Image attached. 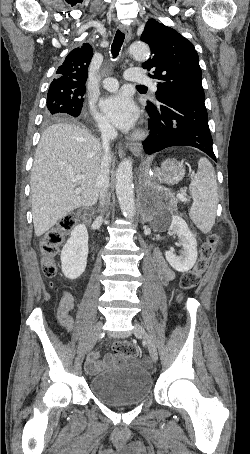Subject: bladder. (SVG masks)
Returning a JSON list of instances; mask_svg holds the SVG:
<instances>
[{
  "mask_svg": "<svg viewBox=\"0 0 250 454\" xmlns=\"http://www.w3.org/2000/svg\"><path fill=\"white\" fill-rule=\"evenodd\" d=\"M118 358V368L106 370L90 379V392L99 402L110 406L132 405L145 401L152 391L150 373L138 363Z\"/></svg>",
  "mask_w": 250,
  "mask_h": 454,
  "instance_id": "1",
  "label": "bladder"
}]
</instances>
